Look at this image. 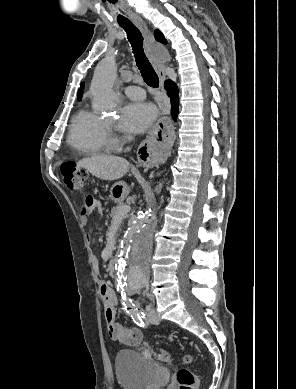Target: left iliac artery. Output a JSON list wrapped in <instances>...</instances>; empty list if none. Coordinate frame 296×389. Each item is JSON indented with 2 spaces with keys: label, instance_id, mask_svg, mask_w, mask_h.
I'll return each instance as SVG.
<instances>
[{
  "label": "left iliac artery",
  "instance_id": "44dca946",
  "mask_svg": "<svg viewBox=\"0 0 296 389\" xmlns=\"http://www.w3.org/2000/svg\"><path fill=\"white\" fill-rule=\"evenodd\" d=\"M122 298H123V300H125V303L123 302V305L125 306L126 310L128 309L127 313L130 314L133 321L137 325L144 327L145 326V323L143 321V319L145 318L144 312L140 310L138 305H136L135 303H132L131 299H129V301L126 300L127 299L126 293H124V295H122Z\"/></svg>",
  "mask_w": 296,
  "mask_h": 389
}]
</instances>
